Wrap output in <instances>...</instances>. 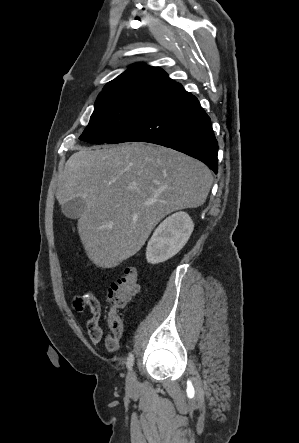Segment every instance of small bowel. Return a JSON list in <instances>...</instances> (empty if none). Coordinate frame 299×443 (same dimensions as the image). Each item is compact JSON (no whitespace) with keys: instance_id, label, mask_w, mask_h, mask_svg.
Returning a JSON list of instances; mask_svg holds the SVG:
<instances>
[{"instance_id":"1","label":"small bowel","mask_w":299,"mask_h":443,"mask_svg":"<svg viewBox=\"0 0 299 443\" xmlns=\"http://www.w3.org/2000/svg\"><path fill=\"white\" fill-rule=\"evenodd\" d=\"M74 306L82 310L84 307H88L91 312V317L87 321V331L90 341L97 345L103 338V330L99 324V320L102 313L101 304L94 293H88L84 297H79L74 301ZM105 344L110 351H114L118 347L117 336L107 335L105 337Z\"/></svg>"}]
</instances>
